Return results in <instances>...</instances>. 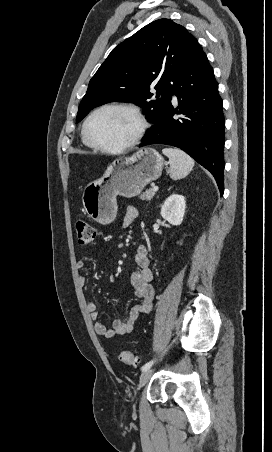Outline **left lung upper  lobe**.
<instances>
[{
	"instance_id": "obj_1",
	"label": "left lung upper lobe",
	"mask_w": 272,
	"mask_h": 452,
	"mask_svg": "<svg viewBox=\"0 0 272 452\" xmlns=\"http://www.w3.org/2000/svg\"><path fill=\"white\" fill-rule=\"evenodd\" d=\"M197 39L169 19L156 20L116 46L89 82L76 118L109 102H133L154 123L164 113L178 74ZM156 89V96L150 86Z\"/></svg>"
}]
</instances>
